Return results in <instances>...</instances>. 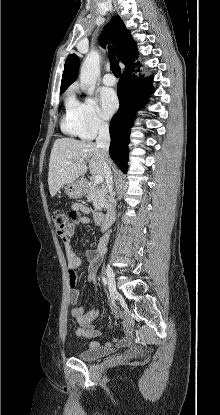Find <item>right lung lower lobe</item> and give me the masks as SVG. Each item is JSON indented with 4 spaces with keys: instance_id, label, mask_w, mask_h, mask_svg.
<instances>
[{
    "instance_id": "right-lung-lower-lobe-1",
    "label": "right lung lower lobe",
    "mask_w": 220,
    "mask_h": 415,
    "mask_svg": "<svg viewBox=\"0 0 220 415\" xmlns=\"http://www.w3.org/2000/svg\"><path fill=\"white\" fill-rule=\"evenodd\" d=\"M129 71H134V68L129 69ZM152 79L153 76L137 77L126 71L122 74L117 85L120 108L110 122L111 144L109 153L124 173L127 172L128 168L130 128L133 126L136 111L153 93ZM137 104L140 106H137Z\"/></svg>"
}]
</instances>
